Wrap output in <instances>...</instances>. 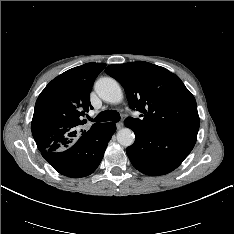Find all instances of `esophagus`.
Masks as SVG:
<instances>
[{
    "label": "esophagus",
    "instance_id": "esophagus-1",
    "mask_svg": "<svg viewBox=\"0 0 234 234\" xmlns=\"http://www.w3.org/2000/svg\"><path fill=\"white\" fill-rule=\"evenodd\" d=\"M123 126H124L123 122L116 123L117 129H121V128H123Z\"/></svg>",
    "mask_w": 234,
    "mask_h": 234
}]
</instances>
